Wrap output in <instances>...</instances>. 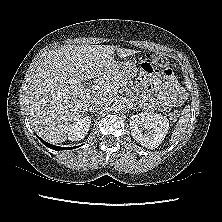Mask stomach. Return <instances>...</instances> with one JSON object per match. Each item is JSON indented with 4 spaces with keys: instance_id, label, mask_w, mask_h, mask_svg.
Segmentation results:
<instances>
[{
    "instance_id": "obj_1",
    "label": "stomach",
    "mask_w": 222,
    "mask_h": 222,
    "mask_svg": "<svg viewBox=\"0 0 222 222\" xmlns=\"http://www.w3.org/2000/svg\"><path fill=\"white\" fill-rule=\"evenodd\" d=\"M119 74L123 78H134L137 75L138 69L137 66L132 62H123L120 63Z\"/></svg>"
}]
</instances>
